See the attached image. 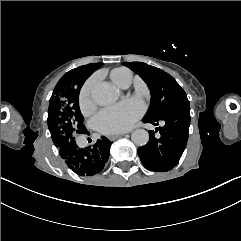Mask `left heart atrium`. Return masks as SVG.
Instances as JSON below:
<instances>
[{
	"mask_svg": "<svg viewBox=\"0 0 241 241\" xmlns=\"http://www.w3.org/2000/svg\"><path fill=\"white\" fill-rule=\"evenodd\" d=\"M142 112V106L131 108L126 105H118L99 111L92 121L103 134H121L134 127Z\"/></svg>",
	"mask_w": 241,
	"mask_h": 241,
	"instance_id": "left-heart-atrium-1",
	"label": "left heart atrium"
}]
</instances>
